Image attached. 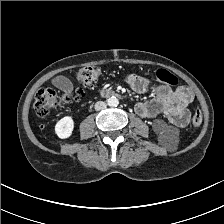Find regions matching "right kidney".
I'll return each instance as SVG.
<instances>
[{
    "label": "right kidney",
    "mask_w": 224,
    "mask_h": 224,
    "mask_svg": "<svg viewBox=\"0 0 224 224\" xmlns=\"http://www.w3.org/2000/svg\"><path fill=\"white\" fill-rule=\"evenodd\" d=\"M74 129V121L72 117L65 116L55 125V133L61 139L69 138Z\"/></svg>",
    "instance_id": "1"
}]
</instances>
